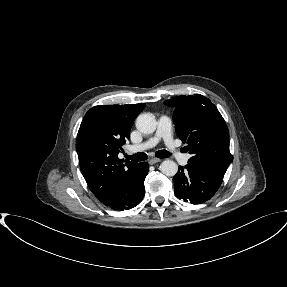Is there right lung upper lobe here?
Here are the masks:
<instances>
[{
    "mask_svg": "<svg viewBox=\"0 0 287 287\" xmlns=\"http://www.w3.org/2000/svg\"><path fill=\"white\" fill-rule=\"evenodd\" d=\"M145 104L98 105L81 123L76 150L81 172L92 193L104 203L117 185L138 163L118 158L121 146L130 138V129Z\"/></svg>",
    "mask_w": 287,
    "mask_h": 287,
    "instance_id": "obj_1",
    "label": "right lung upper lobe"
}]
</instances>
